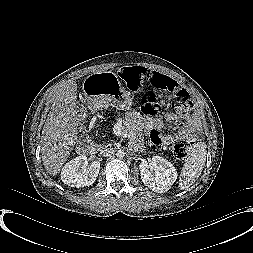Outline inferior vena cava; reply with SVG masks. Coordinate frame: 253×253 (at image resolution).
<instances>
[{"label": "inferior vena cava", "instance_id": "obj_1", "mask_svg": "<svg viewBox=\"0 0 253 253\" xmlns=\"http://www.w3.org/2000/svg\"><path fill=\"white\" fill-rule=\"evenodd\" d=\"M112 155H113L112 149L103 151V156H105V157H110Z\"/></svg>", "mask_w": 253, "mask_h": 253}]
</instances>
